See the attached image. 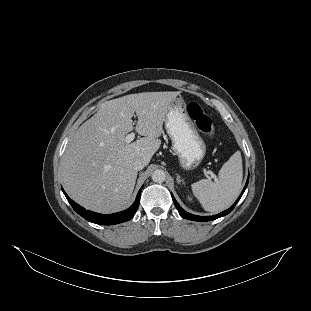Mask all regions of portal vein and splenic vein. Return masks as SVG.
Masks as SVG:
<instances>
[{
	"label": "portal vein and splenic vein",
	"instance_id": "1",
	"mask_svg": "<svg viewBox=\"0 0 311 311\" xmlns=\"http://www.w3.org/2000/svg\"><path fill=\"white\" fill-rule=\"evenodd\" d=\"M135 139V133H130L128 135H126L125 137V142L126 143H131L133 140ZM206 175H210L211 178L215 179L216 180V175L211 171V170H207L205 172Z\"/></svg>",
	"mask_w": 311,
	"mask_h": 311
}]
</instances>
